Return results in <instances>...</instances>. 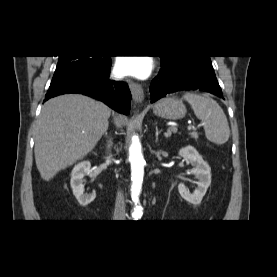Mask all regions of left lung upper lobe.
<instances>
[{"instance_id":"left-lung-upper-lobe-1","label":"left lung upper lobe","mask_w":277,"mask_h":277,"mask_svg":"<svg viewBox=\"0 0 277 277\" xmlns=\"http://www.w3.org/2000/svg\"><path fill=\"white\" fill-rule=\"evenodd\" d=\"M162 65H212L210 56H193V55H180V56H160Z\"/></svg>"}]
</instances>
